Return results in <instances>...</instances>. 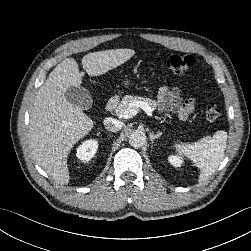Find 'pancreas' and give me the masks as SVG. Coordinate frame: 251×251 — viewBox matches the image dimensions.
I'll use <instances>...</instances> for the list:
<instances>
[{"label": "pancreas", "instance_id": "cf45deb5", "mask_svg": "<svg viewBox=\"0 0 251 251\" xmlns=\"http://www.w3.org/2000/svg\"><path fill=\"white\" fill-rule=\"evenodd\" d=\"M135 101H143L150 104L154 108L157 107V101L152 100L150 98L139 97L134 95H126L122 98L121 102L116 107L115 113L117 115L123 114L128 109L129 104Z\"/></svg>", "mask_w": 251, "mask_h": 251}]
</instances>
